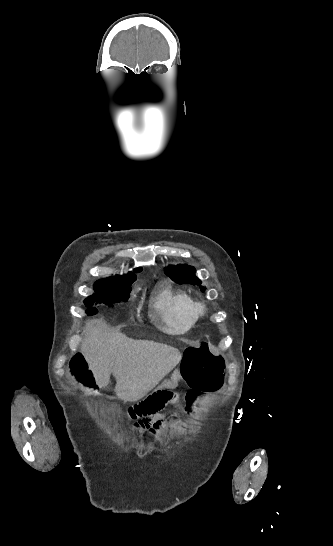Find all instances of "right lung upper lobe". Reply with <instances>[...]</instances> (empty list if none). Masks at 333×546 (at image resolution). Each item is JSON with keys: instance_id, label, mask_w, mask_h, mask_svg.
Segmentation results:
<instances>
[{"instance_id": "obj_1", "label": "right lung upper lobe", "mask_w": 333, "mask_h": 546, "mask_svg": "<svg viewBox=\"0 0 333 546\" xmlns=\"http://www.w3.org/2000/svg\"><path fill=\"white\" fill-rule=\"evenodd\" d=\"M142 271V268H136L134 269V272H140ZM134 273L133 272H129L128 275H133Z\"/></svg>"}]
</instances>
